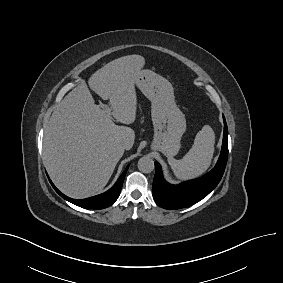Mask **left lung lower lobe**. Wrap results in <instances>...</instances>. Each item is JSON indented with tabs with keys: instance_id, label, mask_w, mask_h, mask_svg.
I'll use <instances>...</instances> for the list:
<instances>
[{
	"instance_id": "1",
	"label": "left lung lower lobe",
	"mask_w": 283,
	"mask_h": 283,
	"mask_svg": "<svg viewBox=\"0 0 283 283\" xmlns=\"http://www.w3.org/2000/svg\"><path fill=\"white\" fill-rule=\"evenodd\" d=\"M223 120L224 133L220 157L216 166L206 175L179 185H171L164 180L161 167L155 162L153 198L160 207L169 210L189 207L205 198L218 185L228 158V128L224 115Z\"/></svg>"
}]
</instances>
